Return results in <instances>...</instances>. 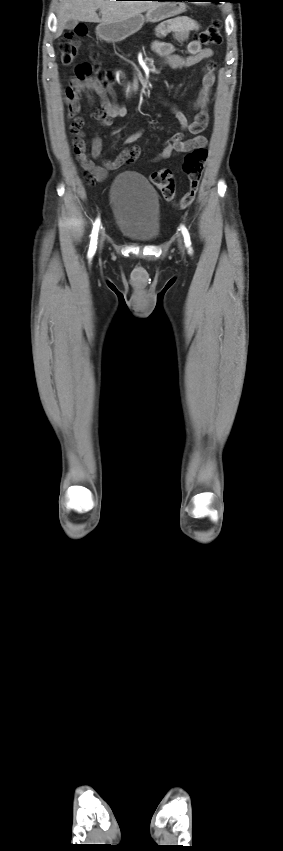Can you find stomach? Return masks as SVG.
<instances>
[{
  "label": "stomach",
  "instance_id": "stomach-1",
  "mask_svg": "<svg viewBox=\"0 0 283 851\" xmlns=\"http://www.w3.org/2000/svg\"><path fill=\"white\" fill-rule=\"evenodd\" d=\"M185 9L186 4L181 0L161 2L155 8L149 9L145 16L138 14L134 17L116 23H101L97 26L96 33L105 41H122L139 31L145 21L156 23L166 18L179 15L183 13Z\"/></svg>",
  "mask_w": 283,
  "mask_h": 851
}]
</instances>
